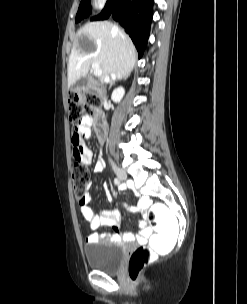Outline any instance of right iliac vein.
<instances>
[{
  "mask_svg": "<svg viewBox=\"0 0 247 304\" xmlns=\"http://www.w3.org/2000/svg\"><path fill=\"white\" fill-rule=\"evenodd\" d=\"M114 171L121 181H125L127 179V173L120 167L114 166Z\"/></svg>",
  "mask_w": 247,
  "mask_h": 304,
  "instance_id": "obj_1",
  "label": "right iliac vein"
}]
</instances>
